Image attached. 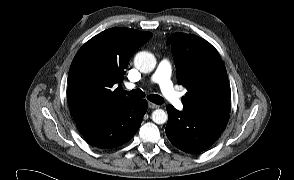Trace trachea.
<instances>
[{
    "label": "trachea",
    "instance_id": "1",
    "mask_svg": "<svg viewBox=\"0 0 294 180\" xmlns=\"http://www.w3.org/2000/svg\"><path fill=\"white\" fill-rule=\"evenodd\" d=\"M124 93L127 94L128 96H130L131 98H144L145 97V93L140 89H134L130 92L124 91ZM147 99L155 104H158V105H160L164 102L163 98L157 94H150L147 96Z\"/></svg>",
    "mask_w": 294,
    "mask_h": 180
}]
</instances>
